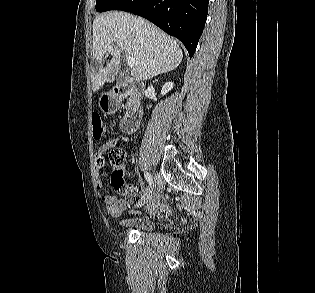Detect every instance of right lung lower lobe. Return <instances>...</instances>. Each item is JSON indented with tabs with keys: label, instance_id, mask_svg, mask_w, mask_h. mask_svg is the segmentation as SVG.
<instances>
[{
	"label": "right lung lower lobe",
	"instance_id": "right-lung-lower-lobe-1",
	"mask_svg": "<svg viewBox=\"0 0 315 293\" xmlns=\"http://www.w3.org/2000/svg\"><path fill=\"white\" fill-rule=\"evenodd\" d=\"M209 0H121L112 10L140 15L178 38L192 57L207 19Z\"/></svg>",
	"mask_w": 315,
	"mask_h": 293
}]
</instances>
